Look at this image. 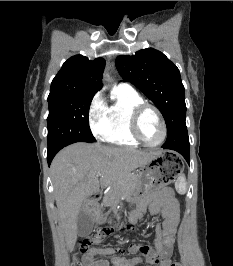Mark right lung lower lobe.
Listing matches in <instances>:
<instances>
[{
    "instance_id": "98d812e1",
    "label": "right lung lower lobe",
    "mask_w": 233,
    "mask_h": 266,
    "mask_svg": "<svg viewBox=\"0 0 233 266\" xmlns=\"http://www.w3.org/2000/svg\"><path fill=\"white\" fill-rule=\"evenodd\" d=\"M84 142H92V141H84ZM62 148H58L56 150H53V151H49L48 154H47V162H48V165H50L52 159L54 158V156L57 154V152L59 150H61Z\"/></svg>"
}]
</instances>
